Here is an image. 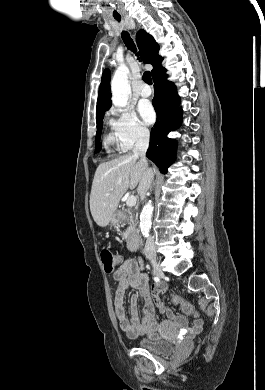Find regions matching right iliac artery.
<instances>
[{"instance_id":"82829eb1","label":"right iliac artery","mask_w":265,"mask_h":390,"mask_svg":"<svg viewBox=\"0 0 265 390\" xmlns=\"http://www.w3.org/2000/svg\"><path fill=\"white\" fill-rule=\"evenodd\" d=\"M155 282H159V278L158 277H154L153 278Z\"/></svg>"}]
</instances>
